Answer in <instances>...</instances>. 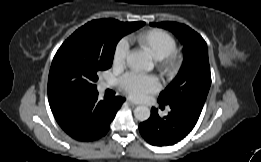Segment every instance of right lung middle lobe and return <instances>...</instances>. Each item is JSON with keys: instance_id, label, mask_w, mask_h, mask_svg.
<instances>
[{"instance_id": "right-lung-middle-lobe-1", "label": "right lung middle lobe", "mask_w": 261, "mask_h": 162, "mask_svg": "<svg viewBox=\"0 0 261 162\" xmlns=\"http://www.w3.org/2000/svg\"><path fill=\"white\" fill-rule=\"evenodd\" d=\"M144 22L99 19L77 29L59 48L51 64L48 99L77 101L97 92L98 73L112 66L115 47Z\"/></svg>"}]
</instances>
